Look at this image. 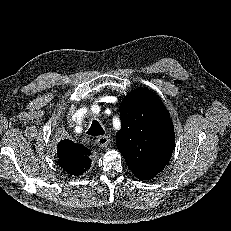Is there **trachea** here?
<instances>
[{"label":"trachea","instance_id":"trachea-1","mask_svg":"<svg viewBox=\"0 0 231 231\" xmlns=\"http://www.w3.org/2000/svg\"><path fill=\"white\" fill-rule=\"evenodd\" d=\"M86 133L90 136H101L104 134V129L98 121L94 120Z\"/></svg>","mask_w":231,"mask_h":231}]
</instances>
